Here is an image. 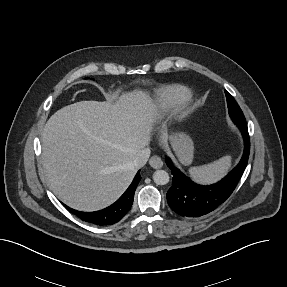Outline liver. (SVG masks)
<instances>
[{
  "instance_id": "6515ba94",
  "label": "liver",
  "mask_w": 287,
  "mask_h": 287,
  "mask_svg": "<svg viewBox=\"0 0 287 287\" xmlns=\"http://www.w3.org/2000/svg\"><path fill=\"white\" fill-rule=\"evenodd\" d=\"M157 113L142 91L115 102L81 101L65 106L42 133V165L57 197L80 211L115 202L137 170V154L150 142ZM166 141L167 135L161 137Z\"/></svg>"
}]
</instances>
